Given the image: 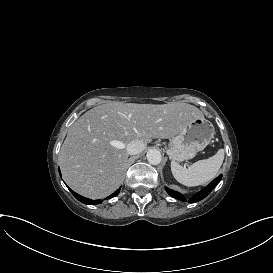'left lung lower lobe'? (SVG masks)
Wrapping results in <instances>:
<instances>
[{"mask_svg":"<svg viewBox=\"0 0 273 273\" xmlns=\"http://www.w3.org/2000/svg\"><path fill=\"white\" fill-rule=\"evenodd\" d=\"M222 178V175L218 176L215 180H213L205 189L197 193L195 196H193L188 202H198L205 198L214 188L215 186L220 182ZM167 193L172 196L175 199L181 200L186 202L185 198L178 192L173 191L171 189L166 188Z\"/></svg>","mask_w":273,"mask_h":273,"instance_id":"0a47b994","label":"left lung lower lobe"}]
</instances>
